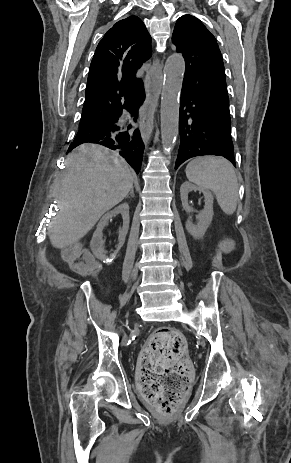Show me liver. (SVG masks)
I'll return each instance as SVG.
<instances>
[{
	"label": "liver",
	"mask_w": 291,
	"mask_h": 463,
	"mask_svg": "<svg viewBox=\"0 0 291 463\" xmlns=\"http://www.w3.org/2000/svg\"><path fill=\"white\" fill-rule=\"evenodd\" d=\"M133 178L118 153L101 145H80L67 157L66 171L55 184L59 213L49 228L51 244L62 249L83 238L128 195Z\"/></svg>",
	"instance_id": "obj_1"
}]
</instances>
